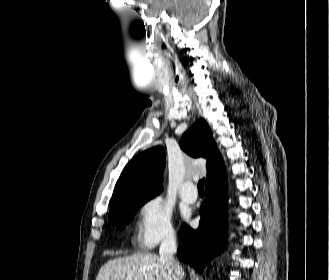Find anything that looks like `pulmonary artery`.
<instances>
[{
    "mask_svg": "<svg viewBox=\"0 0 329 280\" xmlns=\"http://www.w3.org/2000/svg\"><path fill=\"white\" fill-rule=\"evenodd\" d=\"M180 197L187 203L196 202L198 194L195 184L191 181L184 183L180 189Z\"/></svg>",
    "mask_w": 329,
    "mask_h": 280,
    "instance_id": "1",
    "label": "pulmonary artery"
}]
</instances>
